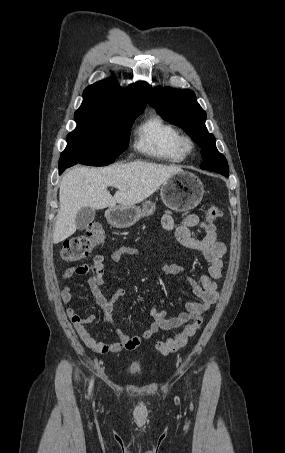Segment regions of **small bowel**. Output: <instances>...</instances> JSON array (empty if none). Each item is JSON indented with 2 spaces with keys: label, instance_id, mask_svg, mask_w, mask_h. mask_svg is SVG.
<instances>
[{
  "label": "small bowel",
  "instance_id": "small-bowel-1",
  "mask_svg": "<svg viewBox=\"0 0 285 453\" xmlns=\"http://www.w3.org/2000/svg\"><path fill=\"white\" fill-rule=\"evenodd\" d=\"M161 224L164 230L175 232V236L182 246L199 252L207 262V273L202 274L198 279L188 276L184 268L178 264L170 263L162 266V271L166 275L185 276L190 282L193 288V294L198 301L187 302L186 311L172 318H167L165 310L154 306L150 311L152 323L146 330L138 335H129L117 329L116 334L118 340L112 342H102L91 335L87 329V325L94 322V315L82 317L76 313L72 306H68L67 314L79 337L86 346L95 352L104 354L135 350L144 340L150 339L159 330L178 328L192 319L200 318L217 301L218 285L216 280L222 276L223 256L226 252V247L224 243L217 240L216 226L212 223H206L204 225L205 236L202 239H198L190 231L192 227L199 224V217L195 214L186 216L178 224H176L171 215L166 214L162 217ZM139 253L140 250L137 248L122 246L115 249L111 253L110 258L112 261L118 262L125 255H136ZM105 260V255L97 254L93 258L92 263L66 269L62 274V278L66 280L76 275L89 274L88 285L91 294L102 309L105 320L112 325L114 304L125 295V291L118 289L111 296H104L102 285L104 283ZM60 296L65 304H69L72 300V288L65 286L61 290Z\"/></svg>",
  "mask_w": 285,
  "mask_h": 453
}]
</instances>
